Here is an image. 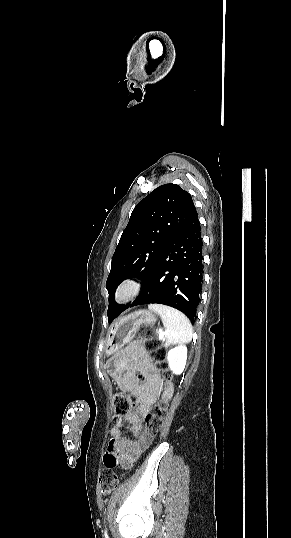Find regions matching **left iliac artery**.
Segmentation results:
<instances>
[{"instance_id": "left-iliac-artery-1", "label": "left iliac artery", "mask_w": 291, "mask_h": 538, "mask_svg": "<svg viewBox=\"0 0 291 538\" xmlns=\"http://www.w3.org/2000/svg\"><path fill=\"white\" fill-rule=\"evenodd\" d=\"M104 536H105V538H109L106 529H105V531H104Z\"/></svg>"}]
</instances>
